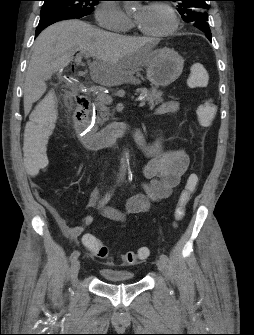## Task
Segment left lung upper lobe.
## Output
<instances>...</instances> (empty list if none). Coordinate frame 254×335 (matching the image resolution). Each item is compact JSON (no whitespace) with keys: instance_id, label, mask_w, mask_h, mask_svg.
Segmentation results:
<instances>
[{"instance_id":"left-lung-upper-lobe-1","label":"left lung upper lobe","mask_w":254,"mask_h":335,"mask_svg":"<svg viewBox=\"0 0 254 335\" xmlns=\"http://www.w3.org/2000/svg\"><path fill=\"white\" fill-rule=\"evenodd\" d=\"M178 3V11L184 21L192 22V24L203 31L206 37H211L210 28L207 23L209 8L206 4L207 0H172Z\"/></svg>"}]
</instances>
